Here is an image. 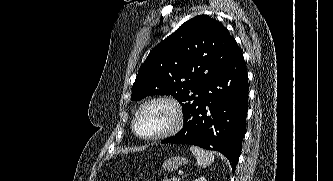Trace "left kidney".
Returning <instances> with one entry per match:
<instances>
[{"label": "left kidney", "mask_w": 333, "mask_h": 181, "mask_svg": "<svg viewBox=\"0 0 333 181\" xmlns=\"http://www.w3.org/2000/svg\"><path fill=\"white\" fill-rule=\"evenodd\" d=\"M194 181H207V180L204 176H200V177L196 178Z\"/></svg>", "instance_id": "left-kidney-1"}]
</instances>
